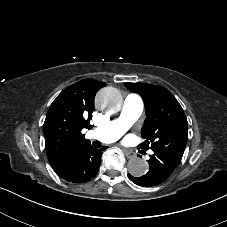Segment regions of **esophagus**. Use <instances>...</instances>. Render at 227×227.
<instances>
[{
    "mask_svg": "<svg viewBox=\"0 0 227 227\" xmlns=\"http://www.w3.org/2000/svg\"><path fill=\"white\" fill-rule=\"evenodd\" d=\"M123 152L128 159L136 157V153L133 151L123 150Z\"/></svg>",
    "mask_w": 227,
    "mask_h": 227,
    "instance_id": "1",
    "label": "esophagus"
}]
</instances>
